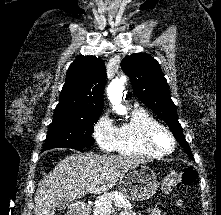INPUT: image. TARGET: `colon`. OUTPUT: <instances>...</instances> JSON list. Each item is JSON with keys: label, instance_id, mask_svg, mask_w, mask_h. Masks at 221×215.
Wrapping results in <instances>:
<instances>
[{"label": "colon", "instance_id": "obj_1", "mask_svg": "<svg viewBox=\"0 0 221 215\" xmlns=\"http://www.w3.org/2000/svg\"><path fill=\"white\" fill-rule=\"evenodd\" d=\"M196 179L197 173L192 167H185L180 171H171L162 181V191L165 194H170L176 187L190 185Z\"/></svg>", "mask_w": 221, "mask_h": 215}]
</instances>
